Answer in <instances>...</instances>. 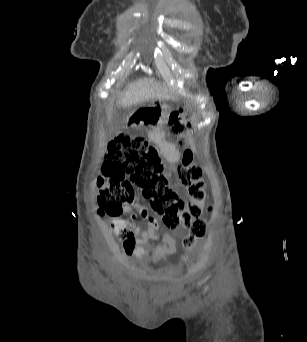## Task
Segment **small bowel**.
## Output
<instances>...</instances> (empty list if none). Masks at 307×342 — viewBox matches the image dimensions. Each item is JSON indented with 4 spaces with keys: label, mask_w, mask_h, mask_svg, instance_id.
I'll return each mask as SVG.
<instances>
[{
    "label": "small bowel",
    "mask_w": 307,
    "mask_h": 342,
    "mask_svg": "<svg viewBox=\"0 0 307 342\" xmlns=\"http://www.w3.org/2000/svg\"><path fill=\"white\" fill-rule=\"evenodd\" d=\"M167 157L172 161H178L179 153L169 148ZM130 209L127 208V211ZM144 218L149 222V227L141 229L131 219L115 218L112 221V230L117 238L122 242L123 252L126 258L136 257L144 258L149 253L151 241L159 238V225L152 215L148 212H143ZM174 240V239H162Z\"/></svg>",
    "instance_id": "small-bowel-1"
}]
</instances>
